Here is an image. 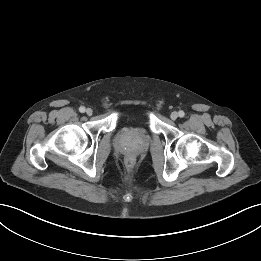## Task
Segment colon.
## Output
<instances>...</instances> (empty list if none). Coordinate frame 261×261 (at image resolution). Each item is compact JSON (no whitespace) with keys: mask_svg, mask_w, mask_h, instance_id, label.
Instances as JSON below:
<instances>
[{"mask_svg":"<svg viewBox=\"0 0 261 261\" xmlns=\"http://www.w3.org/2000/svg\"><path fill=\"white\" fill-rule=\"evenodd\" d=\"M127 164H128V165H132V164H133V160H132V159H128V160H127Z\"/></svg>","mask_w":261,"mask_h":261,"instance_id":"1","label":"colon"}]
</instances>
